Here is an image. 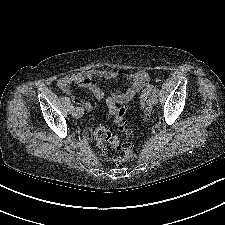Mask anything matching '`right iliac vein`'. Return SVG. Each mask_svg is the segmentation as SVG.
Here are the masks:
<instances>
[{
    "label": "right iliac vein",
    "instance_id": "63e3f726",
    "mask_svg": "<svg viewBox=\"0 0 225 225\" xmlns=\"http://www.w3.org/2000/svg\"><path fill=\"white\" fill-rule=\"evenodd\" d=\"M71 114H72V116H73L74 118H79V116H80V111H79L78 108H73Z\"/></svg>",
    "mask_w": 225,
    "mask_h": 225
}]
</instances>
